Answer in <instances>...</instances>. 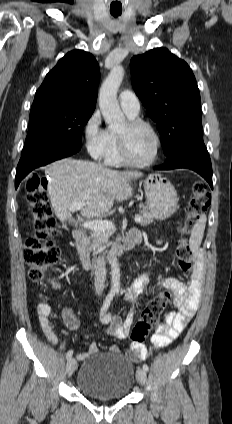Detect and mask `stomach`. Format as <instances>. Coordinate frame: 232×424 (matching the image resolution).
Instances as JSON below:
<instances>
[{
    "instance_id": "1",
    "label": "stomach",
    "mask_w": 232,
    "mask_h": 424,
    "mask_svg": "<svg viewBox=\"0 0 232 424\" xmlns=\"http://www.w3.org/2000/svg\"><path fill=\"white\" fill-rule=\"evenodd\" d=\"M147 207L153 217L164 220L174 214L178 206V196L174 186L160 174H152L144 181Z\"/></svg>"
}]
</instances>
